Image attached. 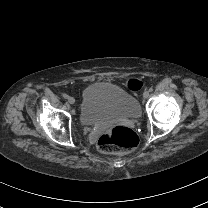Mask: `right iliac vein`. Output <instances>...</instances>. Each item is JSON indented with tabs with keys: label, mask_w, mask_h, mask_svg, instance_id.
Returning <instances> with one entry per match:
<instances>
[{
	"label": "right iliac vein",
	"mask_w": 208,
	"mask_h": 208,
	"mask_svg": "<svg viewBox=\"0 0 208 208\" xmlns=\"http://www.w3.org/2000/svg\"><path fill=\"white\" fill-rule=\"evenodd\" d=\"M68 102H69L70 104H74V103H75V99H74L73 97H70V98L68 99Z\"/></svg>",
	"instance_id": "1"
}]
</instances>
